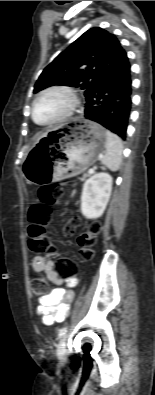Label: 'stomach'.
I'll return each mask as SVG.
<instances>
[{"label": "stomach", "instance_id": "stomach-1", "mask_svg": "<svg viewBox=\"0 0 155 395\" xmlns=\"http://www.w3.org/2000/svg\"><path fill=\"white\" fill-rule=\"evenodd\" d=\"M106 130L84 118L60 125L42 137L23 162L30 184L55 182L83 172L105 148Z\"/></svg>", "mask_w": 155, "mask_h": 395}]
</instances>
